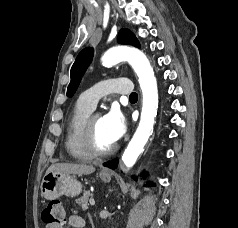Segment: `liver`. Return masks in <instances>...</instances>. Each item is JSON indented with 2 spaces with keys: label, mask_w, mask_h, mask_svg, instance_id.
<instances>
[{
  "label": "liver",
  "mask_w": 238,
  "mask_h": 228,
  "mask_svg": "<svg viewBox=\"0 0 238 228\" xmlns=\"http://www.w3.org/2000/svg\"><path fill=\"white\" fill-rule=\"evenodd\" d=\"M95 171V167L86 164L56 163L51 165L47 172H60L65 174L88 175Z\"/></svg>",
  "instance_id": "1"
}]
</instances>
